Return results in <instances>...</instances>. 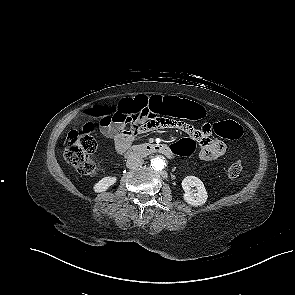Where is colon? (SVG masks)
Returning a JSON list of instances; mask_svg holds the SVG:
<instances>
[{
	"instance_id": "5ec220e1",
	"label": "colon",
	"mask_w": 295,
	"mask_h": 295,
	"mask_svg": "<svg viewBox=\"0 0 295 295\" xmlns=\"http://www.w3.org/2000/svg\"><path fill=\"white\" fill-rule=\"evenodd\" d=\"M89 115L99 118L100 121L118 119L122 116H135L139 114L161 113L159 118L169 117L172 119H186L198 121L206 116L205 109L192 101L170 97L161 99L159 97L146 98L143 96L127 99L121 102L117 108L96 107L89 110ZM176 120V119H175ZM93 123L85 124L82 131H71L65 140L64 156L66 161L82 175H93L96 172V164L92 154L96 149V141L92 136ZM214 132L226 139L235 140L242 136V127L232 121L224 120L213 125ZM169 152L191 157L195 151V144L190 139H183L177 143L168 144ZM242 164L235 162L227 170L230 179L237 178L242 172Z\"/></svg>"
}]
</instances>
